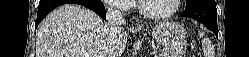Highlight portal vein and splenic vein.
Instances as JSON below:
<instances>
[{
  "label": "portal vein and splenic vein",
  "mask_w": 249,
  "mask_h": 57,
  "mask_svg": "<svg viewBox=\"0 0 249 57\" xmlns=\"http://www.w3.org/2000/svg\"><path fill=\"white\" fill-rule=\"evenodd\" d=\"M85 56H86V57H90V55H88V54H85Z\"/></svg>",
  "instance_id": "obj_1"
}]
</instances>
